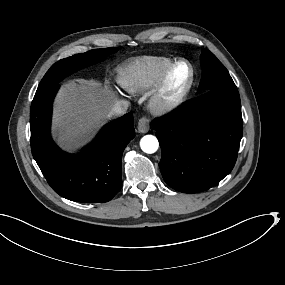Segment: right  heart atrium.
<instances>
[{
    "label": "right heart atrium",
    "instance_id": "1",
    "mask_svg": "<svg viewBox=\"0 0 285 285\" xmlns=\"http://www.w3.org/2000/svg\"><path fill=\"white\" fill-rule=\"evenodd\" d=\"M113 92H114V94H115L116 96H120V95H121V92H120L119 90H117V89L114 90Z\"/></svg>",
    "mask_w": 285,
    "mask_h": 285
}]
</instances>
